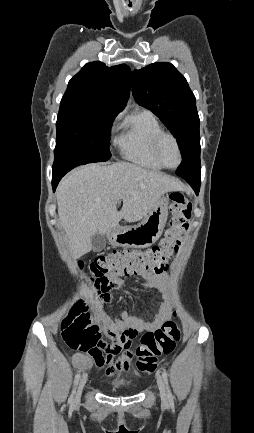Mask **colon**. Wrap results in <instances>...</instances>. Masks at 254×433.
<instances>
[{
	"instance_id": "obj_1",
	"label": "colon",
	"mask_w": 254,
	"mask_h": 433,
	"mask_svg": "<svg viewBox=\"0 0 254 433\" xmlns=\"http://www.w3.org/2000/svg\"><path fill=\"white\" fill-rule=\"evenodd\" d=\"M170 200L172 215L159 245L146 250H113L92 261L90 271L93 282L99 288L98 294L115 277L157 274L164 270L178 251L192 214V203L184 194L172 193ZM61 335L69 348L88 355L96 353L97 327L83 302H79L63 320ZM179 339L180 330L172 319L166 320L159 328L146 332L134 350L137 371L154 372L159 357L170 354Z\"/></svg>"
}]
</instances>
